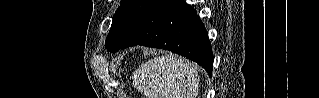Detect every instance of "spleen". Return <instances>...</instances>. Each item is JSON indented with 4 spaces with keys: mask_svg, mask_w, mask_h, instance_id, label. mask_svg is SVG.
Masks as SVG:
<instances>
[{
    "mask_svg": "<svg viewBox=\"0 0 319 98\" xmlns=\"http://www.w3.org/2000/svg\"><path fill=\"white\" fill-rule=\"evenodd\" d=\"M132 79L146 98H196L199 91L197 67L173 54L141 64Z\"/></svg>",
    "mask_w": 319,
    "mask_h": 98,
    "instance_id": "3e777b00",
    "label": "spleen"
}]
</instances>
